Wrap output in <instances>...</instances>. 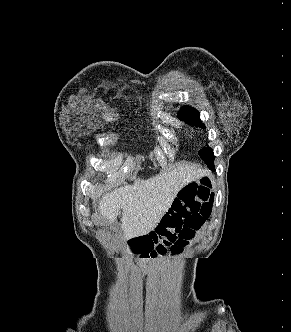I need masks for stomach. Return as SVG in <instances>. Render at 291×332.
<instances>
[{
	"label": "stomach",
	"instance_id": "stomach-1",
	"mask_svg": "<svg viewBox=\"0 0 291 332\" xmlns=\"http://www.w3.org/2000/svg\"><path fill=\"white\" fill-rule=\"evenodd\" d=\"M198 186L207 188V189H212L214 187V179L211 176V174L206 173L204 174L201 178H199L196 181Z\"/></svg>",
	"mask_w": 291,
	"mask_h": 332
}]
</instances>
